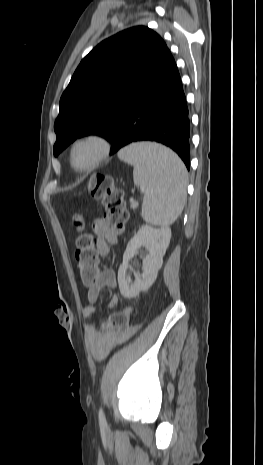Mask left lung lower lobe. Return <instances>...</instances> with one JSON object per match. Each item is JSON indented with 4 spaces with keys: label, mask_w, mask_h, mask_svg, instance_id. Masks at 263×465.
Returning <instances> with one entry per match:
<instances>
[{
    "label": "left lung lower lobe",
    "mask_w": 263,
    "mask_h": 465,
    "mask_svg": "<svg viewBox=\"0 0 263 465\" xmlns=\"http://www.w3.org/2000/svg\"><path fill=\"white\" fill-rule=\"evenodd\" d=\"M190 121L176 63L166 48L139 79L122 113L110 155L137 141H155L173 149L190 168Z\"/></svg>",
    "instance_id": "0a47b994"
}]
</instances>
